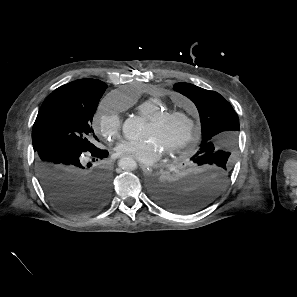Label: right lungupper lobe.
Wrapping results in <instances>:
<instances>
[{"label":"right lung upper lobe","instance_id":"right-lung-upper-lobe-1","mask_svg":"<svg viewBox=\"0 0 297 297\" xmlns=\"http://www.w3.org/2000/svg\"><path fill=\"white\" fill-rule=\"evenodd\" d=\"M104 84L103 82L99 81V80H95V79H80V80H76L74 82L68 83L66 85H63L59 88H57L56 90H54L53 92L59 91L61 89L64 88H86V89H94V88H100L102 87Z\"/></svg>","mask_w":297,"mask_h":297}]
</instances>
